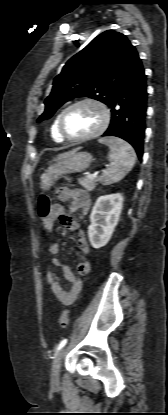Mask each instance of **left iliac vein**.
Segmentation results:
<instances>
[{
	"mask_svg": "<svg viewBox=\"0 0 168 415\" xmlns=\"http://www.w3.org/2000/svg\"><path fill=\"white\" fill-rule=\"evenodd\" d=\"M65 351L66 348H62L54 361L51 373V379L53 382H57L59 380L61 361L65 354Z\"/></svg>",
	"mask_w": 168,
	"mask_h": 415,
	"instance_id": "1",
	"label": "left iliac vein"
}]
</instances>
